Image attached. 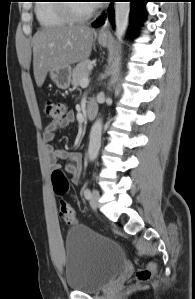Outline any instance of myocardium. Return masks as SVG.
<instances>
[{"mask_svg": "<svg viewBox=\"0 0 195 299\" xmlns=\"http://www.w3.org/2000/svg\"><path fill=\"white\" fill-rule=\"evenodd\" d=\"M62 10L68 16V18L72 22L81 23L91 19L95 15V7L92 6V9L86 13L78 12L75 7L74 3H65L61 5Z\"/></svg>", "mask_w": 195, "mask_h": 299, "instance_id": "obj_1", "label": "myocardium"}]
</instances>
